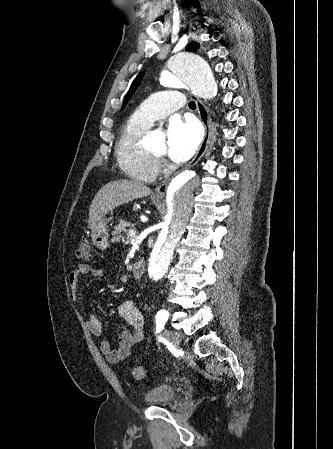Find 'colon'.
Masks as SVG:
<instances>
[{
    "instance_id": "obj_1",
    "label": "colon",
    "mask_w": 333,
    "mask_h": 449,
    "mask_svg": "<svg viewBox=\"0 0 333 449\" xmlns=\"http://www.w3.org/2000/svg\"><path fill=\"white\" fill-rule=\"evenodd\" d=\"M91 252V246L89 241L86 238H83L78 243L76 254L79 258H88ZM133 375L135 379L141 380L145 377V370L142 367H136L133 370Z\"/></svg>"
}]
</instances>
